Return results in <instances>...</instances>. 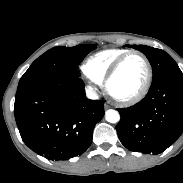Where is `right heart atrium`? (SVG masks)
I'll return each instance as SVG.
<instances>
[{"label":"right heart atrium","mask_w":183,"mask_h":183,"mask_svg":"<svg viewBox=\"0 0 183 183\" xmlns=\"http://www.w3.org/2000/svg\"><path fill=\"white\" fill-rule=\"evenodd\" d=\"M80 70L83 77L88 81L87 90L94 94L97 91V88L101 85L102 78L93 72L87 62L81 65Z\"/></svg>","instance_id":"1"}]
</instances>
